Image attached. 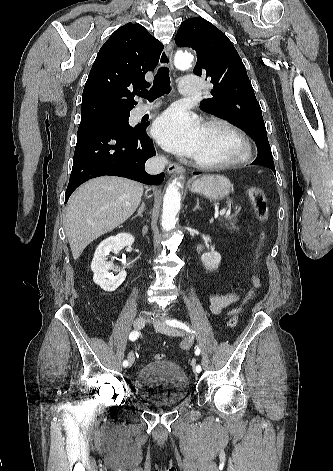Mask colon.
I'll use <instances>...</instances> for the list:
<instances>
[{
	"label": "colon",
	"mask_w": 333,
	"mask_h": 471,
	"mask_svg": "<svg viewBox=\"0 0 333 471\" xmlns=\"http://www.w3.org/2000/svg\"><path fill=\"white\" fill-rule=\"evenodd\" d=\"M248 197L254 208V211L258 220L262 223H266L269 218V208H268L266 196L263 190L257 186H251L248 189ZM264 239H265V236H264V233H262L260 237L259 247L256 252V260L259 258L260 250L264 243ZM252 294H253V287H250L242 303L245 304L249 300V298L252 296ZM237 324H238L237 315L231 317L226 323L227 327L231 329L235 328ZM154 358L156 360H163L165 356L162 353H157L155 354Z\"/></svg>",
	"instance_id": "1"
}]
</instances>
